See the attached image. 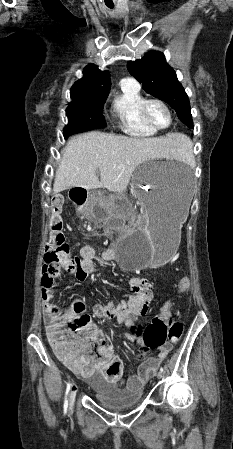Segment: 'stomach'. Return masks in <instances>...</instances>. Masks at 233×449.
Masks as SVG:
<instances>
[{"instance_id":"0dacf381","label":"stomach","mask_w":233,"mask_h":449,"mask_svg":"<svg viewBox=\"0 0 233 449\" xmlns=\"http://www.w3.org/2000/svg\"><path fill=\"white\" fill-rule=\"evenodd\" d=\"M132 193L145 207L142 221L114 245L115 258L123 270H141L166 264L180 241V229L194 200L192 177L181 162H146L139 165L131 180ZM118 195L91 196L82 212L91 220L112 226H127L129 214L122 210Z\"/></svg>"}]
</instances>
